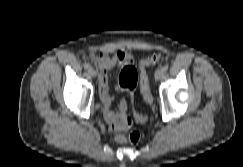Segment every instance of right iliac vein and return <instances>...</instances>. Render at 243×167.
Instances as JSON below:
<instances>
[{"mask_svg": "<svg viewBox=\"0 0 243 167\" xmlns=\"http://www.w3.org/2000/svg\"><path fill=\"white\" fill-rule=\"evenodd\" d=\"M88 73L91 77H96V71L93 68H89Z\"/></svg>", "mask_w": 243, "mask_h": 167, "instance_id": "right-iliac-vein-1", "label": "right iliac vein"}]
</instances>
